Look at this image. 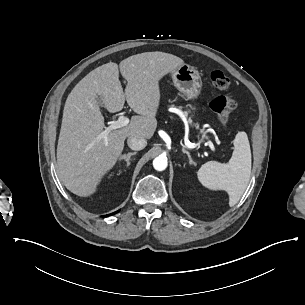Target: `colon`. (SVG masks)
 <instances>
[{"label":"colon","instance_id":"5ec220e1","mask_svg":"<svg viewBox=\"0 0 305 305\" xmlns=\"http://www.w3.org/2000/svg\"><path fill=\"white\" fill-rule=\"evenodd\" d=\"M210 79L214 87L218 90L225 91L230 85L229 77L222 71L216 70L211 72ZM211 109L217 114L218 121L228 128L230 124L231 112L235 109V102L228 96L219 95L210 101Z\"/></svg>","mask_w":305,"mask_h":305}]
</instances>
